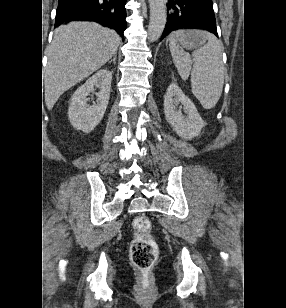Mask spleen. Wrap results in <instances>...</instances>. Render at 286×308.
Returning a JSON list of instances; mask_svg holds the SVG:
<instances>
[{"label": "spleen", "instance_id": "obj_1", "mask_svg": "<svg viewBox=\"0 0 286 308\" xmlns=\"http://www.w3.org/2000/svg\"><path fill=\"white\" fill-rule=\"evenodd\" d=\"M207 44L192 53V57L179 49L177 37L186 33L174 32L169 41L173 62L182 80L190 76L192 93L204 109H212L219 101L224 85V66L220 41L211 33L198 31Z\"/></svg>", "mask_w": 286, "mask_h": 308}]
</instances>
